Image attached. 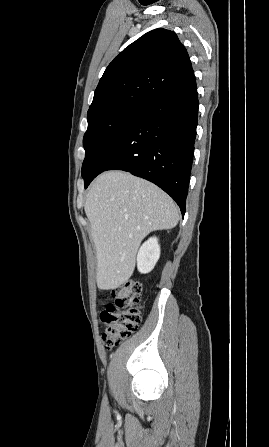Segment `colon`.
Instances as JSON below:
<instances>
[{"mask_svg":"<svg viewBox=\"0 0 269 447\" xmlns=\"http://www.w3.org/2000/svg\"><path fill=\"white\" fill-rule=\"evenodd\" d=\"M142 292V284L134 279L112 289L114 300L106 304L100 313L101 322L105 325L102 338L107 348H114L140 326Z\"/></svg>","mask_w":269,"mask_h":447,"instance_id":"colon-1","label":"colon"}]
</instances>
